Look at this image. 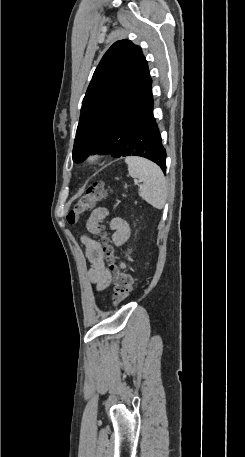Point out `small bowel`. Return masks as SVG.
Listing matches in <instances>:
<instances>
[{
    "mask_svg": "<svg viewBox=\"0 0 245 457\" xmlns=\"http://www.w3.org/2000/svg\"><path fill=\"white\" fill-rule=\"evenodd\" d=\"M109 215V211L105 207L94 209L87 220V230L96 235L100 231V223ZM110 227L113 231V241L116 245L124 244L130 236L129 224L120 217H115L110 220ZM82 243L86 248V257L91 263V268L88 271L89 279L96 285L97 290H104L111 282V274L105 265L102 249L100 244L89 236L82 237Z\"/></svg>",
    "mask_w": 245,
    "mask_h": 457,
    "instance_id": "c3829d8e",
    "label": "small bowel"
}]
</instances>
